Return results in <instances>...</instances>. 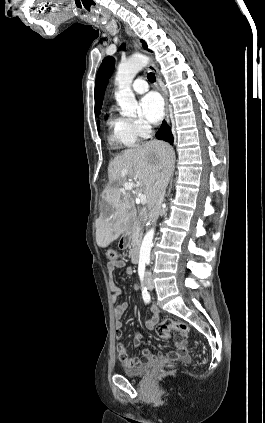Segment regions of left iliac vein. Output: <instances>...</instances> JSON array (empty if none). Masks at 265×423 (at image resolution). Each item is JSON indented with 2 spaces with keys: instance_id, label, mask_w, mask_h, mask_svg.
Returning a JSON list of instances; mask_svg holds the SVG:
<instances>
[{
  "instance_id": "1",
  "label": "left iliac vein",
  "mask_w": 265,
  "mask_h": 423,
  "mask_svg": "<svg viewBox=\"0 0 265 423\" xmlns=\"http://www.w3.org/2000/svg\"><path fill=\"white\" fill-rule=\"evenodd\" d=\"M150 288H151V289L153 288V284H152V283H150Z\"/></svg>"
}]
</instances>
